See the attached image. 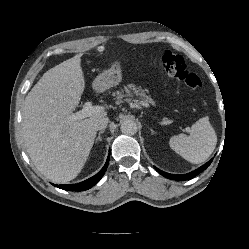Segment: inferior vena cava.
Instances as JSON below:
<instances>
[{"instance_id":"602c4592","label":"inferior vena cava","mask_w":249,"mask_h":249,"mask_svg":"<svg viewBox=\"0 0 249 249\" xmlns=\"http://www.w3.org/2000/svg\"><path fill=\"white\" fill-rule=\"evenodd\" d=\"M109 119L107 117H100L95 120L94 122V128L96 130L105 129L108 125Z\"/></svg>"}]
</instances>
